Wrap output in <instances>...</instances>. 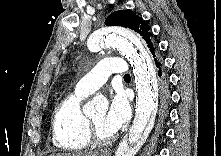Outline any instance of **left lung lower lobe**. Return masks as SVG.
<instances>
[{"instance_id": "left-lung-lower-lobe-1", "label": "left lung lower lobe", "mask_w": 221, "mask_h": 156, "mask_svg": "<svg viewBox=\"0 0 221 156\" xmlns=\"http://www.w3.org/2000/svg\"><path fill=\"white\" fill-rule=\"evenodd\" d=\"M157 67L158 76V100H159V111L160 118L163 119L168 113V100H169V86H168V75L164 70L162 59L160 58L155 62Z\"/></svg>"}]
</instances>
